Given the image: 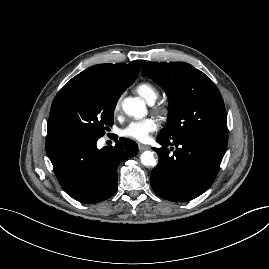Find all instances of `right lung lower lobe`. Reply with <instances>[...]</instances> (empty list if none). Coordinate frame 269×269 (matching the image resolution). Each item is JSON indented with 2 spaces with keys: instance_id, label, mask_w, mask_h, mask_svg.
Here are the masks:
<instances>
[{
  "instance_id": "98d812e1",
  "label": "right lung lower lobe",
  "mask_w": 269,
  "mask_h": 269,
  "mask_svg": "<svg viewBox=\"0 0 269 269\" xmlns=\"http://www.w3.org/2000/svg\"><path fill=\"white\" fill-rule=\"evenodd\" d=\"M98 139L61 137L46 141V153L64 191L73 199L94 204L114 195L118 187L117 168L138 152L137 144L125 138L114 147L98 149Z\"/></svg>"
}]
</instances>
